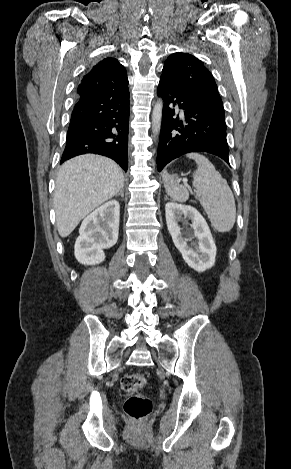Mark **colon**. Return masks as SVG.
I'll use <instances>...</instances> for the list:
<instances>
[{"mask_svg":"<svg viewBox=\"0 0 291 469\" xmlns=\"http://www.w3.org/2000/svg\"><path fill=\"white\" fill-rule=\"evenodd\" d=\"M146 384V378L140 373L125 375L121 380V386L129 396L125 401L126 414L135 421L147 417L152 410V402L149 398L139 393Z\"/></svg>","mask_w":291,"mask_h":469,"instance_id":"1","label":"colon"}]
</instances>
